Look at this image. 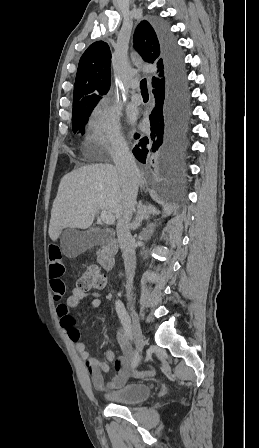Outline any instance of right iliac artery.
<instances>
[{
  "label": "right iliac artery",
  "instance_id": "right-iliac-artery-1",
  "mask_svg": "<svg viewBox=\"0 0 259 448\" xmlns=\"http://www.w3.org/2000/svg\"><path fill=\"white\" fill-rule=\"evenodd\" d=\"M115 306H116V312H117L119 319L123 325L125 334L132 341L133 334H132L131 320H130L129 314H128L124 304L120 300L116 301ZM139 362H140L139 353L137 350H134V357H133V361L131 364L132 368L137 367Z\"/></svg>",
  "mask_w": 259,
  "mask_h": 448
}]
</instances>
